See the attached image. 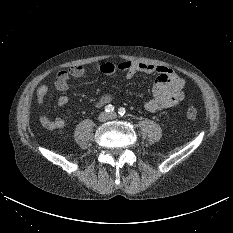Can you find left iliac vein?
<instances>
[{"label": "left iliac vein", "mask_w": 233, "mask_h": 233, "mask_svg": "<svg viewBox=\"0 0 233 233\" xmlns=\"http://www.w3.org/2000/svg\"><path fill=\"white\" fill-rule=\"evenodd\" d=\"M117 117V114L116 113H110L109 114V118L110 119H115Z\"/></svg>", "instance_id": "1"}]
</instances>
